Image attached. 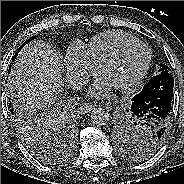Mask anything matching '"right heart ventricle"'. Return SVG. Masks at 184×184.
Returning a JSON list of instances; mask_svg holds the SVG:
<instances>
[{
    "label": "right heart ventricle",
    "mask_w": 184,
    "mask_h": 184,
    "mask_svg": "<svg viewBox=\"0 0 184 184\" xmlns=\"http://www.w3.org/2000/svg\"><path fill=\"white\" fill-rule=\"evenodd\" d=\"M136 39L123 31H107L95 36L86 47L93 61L99 66L120 46Z\"/></svg>",
    "instance_id": "obj_1"
}]
</instances>
